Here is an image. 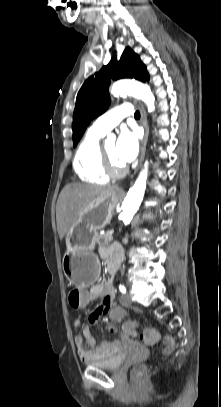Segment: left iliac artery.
Returning <instances> with one entry per match:
<instances>
[{
    "label": "left iliac artery",
    "mask_w": 221,
    "mask_h": 407,
    "mask_svg": "<svg viewBox=\"0 0 221 407\" xmlns=\"http://www.w3.org/2000/svg\"><path fill=\"white\" fill-rule=\"evenodd\" d=\"M119 290L121 293H126V287L124 285H120Z\"/></svg>",
    "instance_id": "1"
}]
</instances>
